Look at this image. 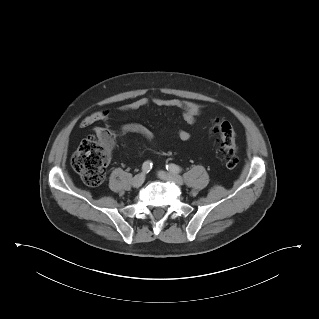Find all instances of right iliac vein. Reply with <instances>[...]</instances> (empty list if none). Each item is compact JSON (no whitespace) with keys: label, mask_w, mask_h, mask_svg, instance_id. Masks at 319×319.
Here are the masks:
<instances>
[{"label":"right iliac vein","mask_w":319,"mask_h":319,"mask_svg":"<svg viewBox=\"0 0 319 319\" xmlns=\"http://www.w3.org/2000/svg\"><path fill=\"white\" fill-rule=\"evenodd\" d=\"M145 181V175L143 173L137 174L133 180H132V185L133 187H140Z\"/></svg>","instance_id":"obj_1"}]
</instances>
